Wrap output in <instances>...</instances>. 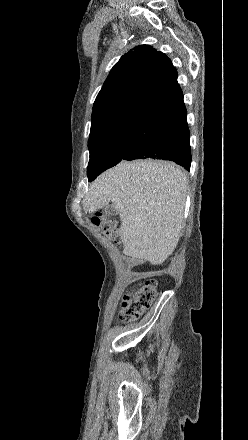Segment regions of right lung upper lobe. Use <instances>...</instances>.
<instances>
[{
    "label": "right lung upper lobe",
    "instance_id": "cb5924a9",
    "mask_svg": "<svg viewBox=\"0 0 248 440\" xmlns=\"http://www.w3.org/2000/svg\"><path fill=\"white\" fill-rule=\"evenodd\" d=\"M182 97L170 59L149 45L135 47L114 65L94 102L88 146Z\"/></svg>",
    "mask_w": 248,
    "mask_h": 440
}]
</instances>
